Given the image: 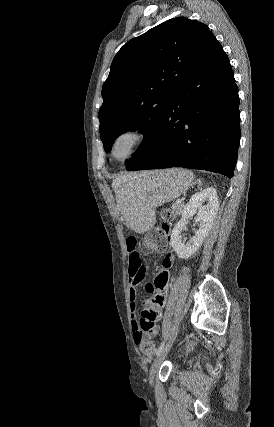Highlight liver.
<instances>
[{
	"label": "liver",
	"mask_w": 274,
	"mask_h": 427,
	"mask_svg": "<svg viewBox=\"0 0 274 427\" xmlns=\"http://www.w3.org/2000/svg\"><path fill=\"white\" fill-rule=\"evenodd\" d=\"M142 174H122V176H117V178L113 180L112 188L115 190L116 200L120 208L122 206V202H124V196L126 194L129 182H131L132 178H140Z\"/></svg>",
	"instance_id": "liver-1"
}]
</instances>
